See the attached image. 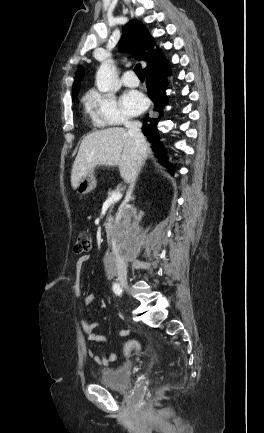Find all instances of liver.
Returning <instances> with one entry per match:
<instances>
[{
	"mask_svg": "<svg viewBox=\"0 0 264 433\" xmlns=\"http://www.w3.org/2000/svg\"><path fill=\"white\" fill-rule=\"evenodd\" d=\"M151 153L147 144L146 157ZM97 165L118 166L122 179L129 183L140 169L133 136L121 127L93 131L86 135L72 167V187L76 189L80 180Z\"/></svg>",
	"mask_w": 264,
	"mask_h": 433,
	"instance_id": "liver-1",
	"label": "liver"
}]
</instances>
